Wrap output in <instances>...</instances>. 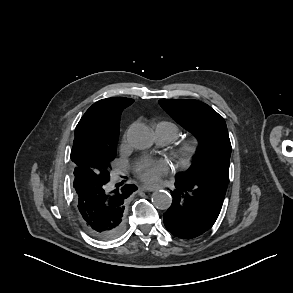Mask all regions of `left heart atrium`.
Instances as JSON below:
<instances>
[{
  "label": "left heart atrium",
  "mask_w": 293,
  "mask_h": 293,
  "mask_svg": "<svg viewBox=\"0 0 293 293\" xmlns=\"http://www.w3.org/2000/svg\"><path fill=\"white\" fill-rule=\"evenodd\" d=\"M137 176L146 183H155L169 172V164L163 160H147L135 167Z\"/></svg>",
  "instance_id": "39dd6f15"
}]
</instances>
